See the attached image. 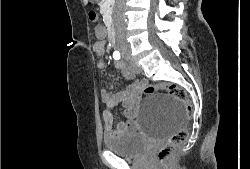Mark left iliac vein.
I'll return each instance as SVG.
<instances>
[{"mask_svg":"<svg viewBox=\"0 0 250 169\" xmlns=\"http://www.w3.org/2000/svg\"><path fill=\"white\" fill-rule=\"evenodd\" d=\"M128 74L129 73H140L141 72V69H140V66L137 64V62L133 61L129 64L128 66Z\"/></svg>","mask_w":250,"mask_h":169,"instance_id":"left-iliac-vein-1","label":"left iliac vein"}]
</instances>
